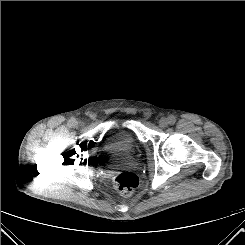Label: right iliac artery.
I'll use <instances>...</instances> for the list:
<instances>
[{
    "mask_svg": "<svg viewBox=\"0 0 245 245\" xmlns=\"http://www.w3.org/2000/svg\"><path fill=\"white\" fill-rule=\"evenodd\" d=\"M76 119L74 118H71L69 121H68V126L69 127H74L76 125Z\"/></svg>",
    "mask_w": 245,
    "mask_h": 245,
    "instance_id": "1",
    "label": "right iliac artery"
}]
</instances>
